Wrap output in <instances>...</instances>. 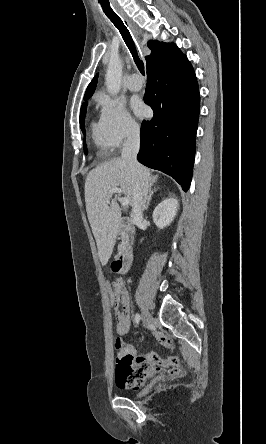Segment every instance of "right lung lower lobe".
<instances>
[{
    "mask_svg": "<svg viewBox=\"0 0 266 444\" xmlns=\"http://www.w3.org/2000/svg\"><path fill=\"white\" fill-rule=\"evenodd\" d=\"M144 100L154 116L142 122L137 159L172 176L186 192L192 179L200 97L195 72L184 54L147 69Z\"/></svg>",
    "mask_w": 266,
    "mask_h": 444,
    "instance_id": "1",
    "label": "right lung lower lobe"
}]
</instances>
